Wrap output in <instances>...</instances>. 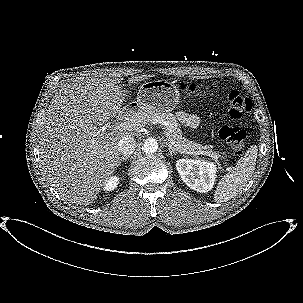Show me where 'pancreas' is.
<instances>
[{
    "instance_id": "obj_1",
    "label": "pancreas",
    "mask_w": 303,
    "mask_h": 303,
    "mask_svg": "<svg viewBox=\"0 0 303 303\" xmlns=\"http://www.w3.org/2000/svg\"><path fill=\"white\" fill-rule=\"evenodd\" d=\"M152 121L166 122L165 129L167 133L170 134L172 141L178 145L186 154L198 156L207 155L213 159H218L220 157L219 153L213 151L210 146H202L199 143L190 141L183 137L182 131L179 127L175 116L172 113L168 112H141L133 115L129 122H138L140 123H150Z\"/></svg>"
}]
</instances>
